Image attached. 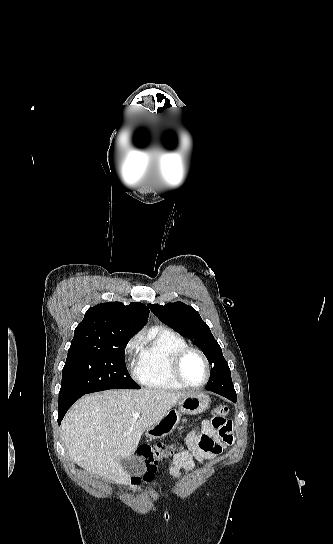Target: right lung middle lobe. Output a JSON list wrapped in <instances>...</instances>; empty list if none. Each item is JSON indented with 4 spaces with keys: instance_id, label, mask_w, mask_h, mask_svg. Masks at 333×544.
<instances>
[{
    "instance_id": "dd1d6c3e",
    "label": "right lung middle lobe",
    "mask_w": 333,
    "mask_h": 544,
    "mask_svg": "<svg viewBox=\"0 0 333 544\" xmlns=\"http://www.w3.org/2000/svg\"><path fill=\"white\" fill-rule=\"evenodd\" d=\"M131 337H120L105 348L69 349L59 394H87L108 389H139L130 377L124 349Z\"/></svg>"
}]
</instances>
